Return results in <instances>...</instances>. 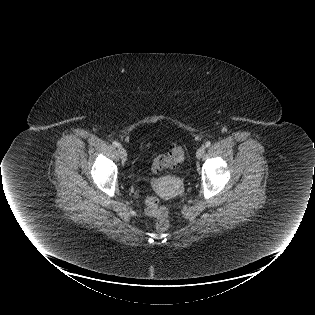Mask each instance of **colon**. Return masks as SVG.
I'll return each mask as SVG.
<instances>
[{
  "mask_svg": "<svg viewBox=\"0 0 315 315\" xmlns=\"http://www.w3.org/2000/svg\"><path fill=\"white\" fill-rule=\"evenodd\" d=\"M184 148L180 145L173 146L166 156H160L153 163L154 171L175 168L184 158ZM146 212L154 218L155 227L160 231H165L170 226L168 210L159 206L158 199L150 196L146 199Z\"/></svg>",
  "mask_w": 315,
  "mask_h": 315,
  "instance_id": "5ec220e1",
  "label": "colon"
}]
</instances>
